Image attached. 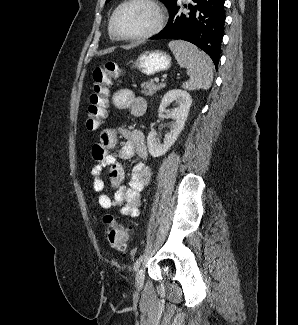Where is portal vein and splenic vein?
<instances>
[{
  "label": "portal vein and splenic vein",
  "mask_w": 298,
  "mask_h": 325,
  "mask_svg": "<svg viewBox=\"0 0 298 325\" xmlns=\"http://www.w3.org/2000/svg\"><path fill=\"white\" fill-rule=\"evenodd\" d=\"M155 82H159V78H154Z\"/></svg>",
  "instance_id": "portal-vein-and-splenic-vein-1"
}]
</instances>
